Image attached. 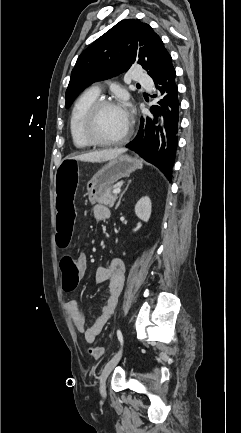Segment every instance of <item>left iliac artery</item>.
Returning a JSON list of instances; mask_svg holds the SVG:
<instances>
[{
  "label": "left iliac artery",
  "instance_id": "44dca946",
  "mask_svg": "<svg viewBox=\"0 0 241 433\" xmlns=\"http://www.w3.org/2000/svg\"><path fill=\"white\" fill-rule=\"evenodd\" d=\"M117 337H118V340H119V342L121 344V347H122L123 343H124V340H123V335H122V332H121L120 329L117 330Z\"/></svg>",
  "mask_w": 241,
  "mask_h": 433
}]
</instances>
